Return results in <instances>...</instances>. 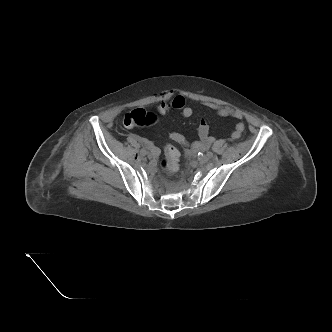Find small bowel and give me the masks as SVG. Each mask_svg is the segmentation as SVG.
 <instances>
[{"label": "small bowel", "instance_id": "c3829d8e", "mask_svg": "<svg viewBox=\"0 0 332 332\" xmlns=\"http://www.w3.org/2000/svg\"><path fill=\"white\" fill-rule=\"evenodd\" d=\"M202 105L206 108L214 111L220 117H232L237 120H241L243 118V113L239 110H235L229 107H223L217 105L212 102L204 101ZM171 109L179 110L181 115L184 118H190L193 115V109L187 105L186 99L182 95H174L170 92L163 94L162 101L158 106V111L160 114H167ZM245 129V125L242 122H238L235 125V128L231 134L233 139H238L241 137L243 131ZM198 135L200 140L192 143L191 145L185 138V136L179 132H172L170 134V139L182 146L189 147L191 146L193 149H205L208 147L214 140V138L209 133V125L205 119H201L198 126ZM149 144V149L151 150V155L153 157L158 155V149L154 147L151 143Z\"/></svg>", "mask_w": 332, "mask_h": 332}]
</instances>
